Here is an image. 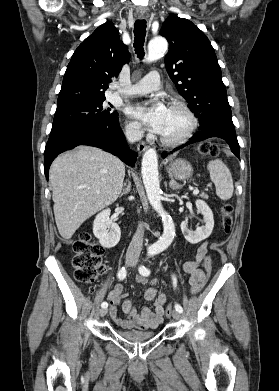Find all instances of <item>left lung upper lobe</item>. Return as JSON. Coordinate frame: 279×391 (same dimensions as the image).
<instances>
[{
	"instance_id": "left-lung-upper-lobe-1",
	"label": "left lung upper lobe",
	"mask_w": 279,
	"mask_h": 391,
	"mask_svg": "<svg viewBox=\"0 0 279 391\" xmlns=\"http://www.w3.org/2000/svg\"><path fill=\"white\" fill-rule=\"evenodd\" d=\"M160 34L169 42L167 73L198 117L200 129L218 125L235 130L221 69L207 36L176 15L166 19Z\"/></svg>"
}]
</instances>
